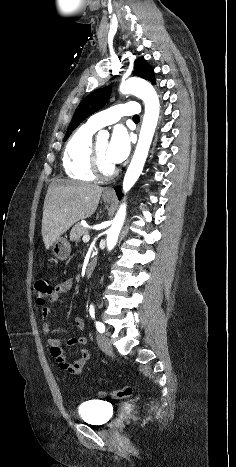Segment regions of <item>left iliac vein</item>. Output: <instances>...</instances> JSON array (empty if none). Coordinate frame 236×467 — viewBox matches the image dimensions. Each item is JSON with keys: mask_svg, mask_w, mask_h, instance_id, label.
<instances>
[{"mask_svg": "<svg viewBox=\"0 0 236 467\" xmlns=\"http://www.w3.org/2000/svg\"><path fill=\"white\" fill-rule=\"evenodd\" d=\"M99 348L105 353H111L113 348L110 339L105 334H99L97 337Z\"/></svg>", "mask_w": 236, "mask_h": 467, "instance_id": "1", "label": "left iliac vein"}]
</instances>
